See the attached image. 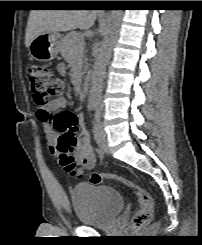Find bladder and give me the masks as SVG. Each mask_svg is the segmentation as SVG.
Segmentation results:
<instances>
[{"label": "bladder", "mask_w": 202, "mask_h": 245, "mask_svg": "<svg viewBox=\"0 0 202 245\" xmlns=\"http://www.w3.org/2000/svg\"><path fill=\"white\" fill-rule=\"evenodd\" d=\"M71 199L79 223L88 226L107 224L124 207L120 192L97 184H77L72 190Z\"/></svg>", "instance_id": "1"}]
</instances>
